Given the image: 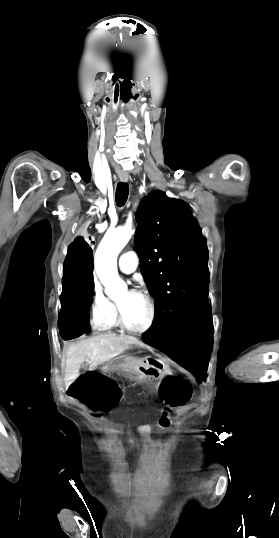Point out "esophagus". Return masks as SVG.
I'll use <instances>...</instances> for the list:
<instances>
[{"instance_id":"esophagus-1","label":"esophagus","mask_w":279,"mask_h":538,"mask_svg":"<svg viewBox=\"0 0 279 538\" xmlns=\"http://www.w3.org/2000/svg\"><path fill=\"white\" fill-rule=\"evenodd\" d=\"M120 180H121V182H127L128 181V176H120Z\"/></svg>"}]
</instances>
